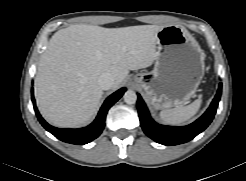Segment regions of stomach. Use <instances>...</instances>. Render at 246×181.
Segmentation results:
<instances>
[{"label": "stomach", "instance_id": "stomach-1", "mask_svg": "<svg viewBox=\"0 0 246 181\" xmlns=\"http://www.w3.org/2000/svg\"><path fill=\"white\" fill-rule=\"evenodd\" d=\"M154 69L134 77L155 109L187 103L196 93L205 72V55L186 28L168 25L157 33Z\"/></svg>", "mask_w": 246, "mask_h": 181}]
</instances>
